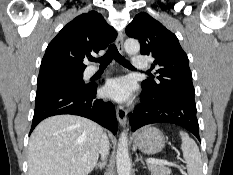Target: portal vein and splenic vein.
<instances>
[{
  "label": "portal vein and splenic vein",
  "instance_id": "obj_1",
  "mask_svg": "<svg viewBox=\"0 0 233 175\" xmlns=\"http://www.w3.org/2000/svg\"><path fill=\"white\" fill-rule=\"evenodd\" d=\"M146 162L148 164H154V165H159V166H163V165H169L170 163L166 160H158V159H153V158H149L146 160Z\"/></svg>",
  "mask_w": 233,
  "mask_h": 175
}]
</instances>
